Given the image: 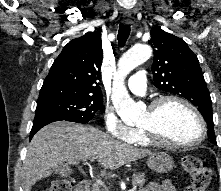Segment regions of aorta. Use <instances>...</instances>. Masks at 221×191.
Returning a JSON list of instances; mask_svg holds the SVG:
<instances>
[{
	"label": "aorta",
	"mask_w": 221,
	"mask_h": 191,
	"mask_svg": "<svg viewBox=\"0 0 221 191\" xmlns=\"http://www.w3.org/2000/svg\"><path fill=\"white\" fill-rule=\"evenodd\" d=\"M151 55L152 49L149 45L138 44L124 53L119 60L118 74L114 82L111 98L116 112L127 124L136 122L144 108L132 100L124 86L123 80L129 72L147 61Z\"/></svg>",
	"instance_id": "762f6f07"
}]
</instances>
